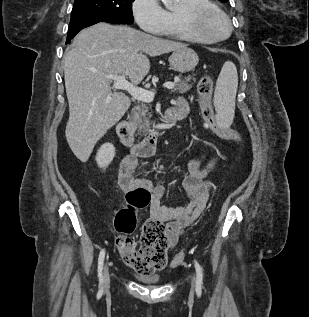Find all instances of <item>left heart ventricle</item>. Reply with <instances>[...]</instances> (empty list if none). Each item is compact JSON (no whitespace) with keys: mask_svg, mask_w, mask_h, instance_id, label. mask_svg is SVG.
I'll return each mask as SVG.
<instances>
[{"mask_svg":"<svg viewBox=\"0 0 309 317\" xmlns=\"http://www.w3.org/2000/svg\"><path fill=\"white\" fill-rule=\"evenodd\" d=\"M200 28L210 33H223L225 30L224 22L218 17H207L200 23Z\"/></svg>","mask_w":309,"mask_h":317,"instance_id":"obj_1","label":"left heart ventricle"}]
</instances>
